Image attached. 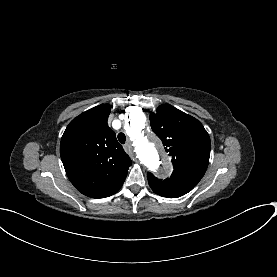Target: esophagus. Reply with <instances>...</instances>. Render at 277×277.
I'll list each match as a JSON object with an SVG mask.
<instances>
[{"label":"esophagus","mask_w":277,"mask_h":277,"mask_svg":"<svg viewBox=\"0 0 277 277\" xmlns=\"http://www.w3.org/2000/svg\"><path fill=\"white\" fill-rule=\"evenodd\" d=\"M124 148L128 151L131 150L132 146H131V142L129 140L125 143ZM133 160L136 162L138 161L135 156H133Z\"/></svg>","instance_id":"1"}]
</instances>
